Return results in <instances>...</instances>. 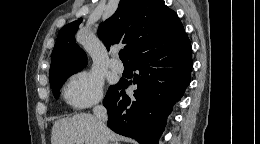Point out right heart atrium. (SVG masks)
I'll return each mask as SVG.
<instances>
[{"instance_id":"obj_1","label":"right heart atrium","mask_w":260,"mask_h":144,"mask_svg":"<svg viewBox=\"0 0 260 144\" xmlns=\"http://www.w3.org/2000/svg\"><path fill=\"white\" fill-rule=\"evenodd\" d=\"M64 97L74 108H86L99 103L103 98V82L89 71L73 74L65 84Z\"/></svg>"}]
</instances>
